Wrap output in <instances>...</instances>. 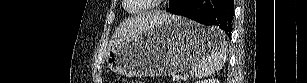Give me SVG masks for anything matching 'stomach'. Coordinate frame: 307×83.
<instances>
[{
  "label": "stomach",
  "mask_w": 307,
  "mask_h": 83,
  "mask_svg": "<svg viewBox=\"0 0 307 83\" xmlns=\"http://www.w3.org/2000/svg\"><path fill=\"white\" fill-rule=\"evenodd\" d=\"M212 50L210 30L180 16L151 26L107 53V66L123 76H167L190 69Z\"/></svg>",
  "instance_id": "1"
}]
</instances>
